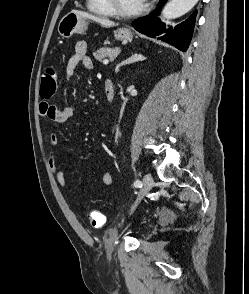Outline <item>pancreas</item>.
I'll return each mask as SVG.
<instances>
[{
  "mask_svg": "<svg viewBox=\"0 0 249 294\" xmlns=\"http://www.w3.org/2000/svg\"><path fill=\"white\" fill-rule=\"evenodd\" d=\"M119 53L118 48H101L94 53V57L98 61H102L106 57L117 56Z\"/></svg>",
  "mask_w": 249,
  "mask_h": 294,
  "instance_id": "1",
  "label": "pancreas"
}]
</instances>
